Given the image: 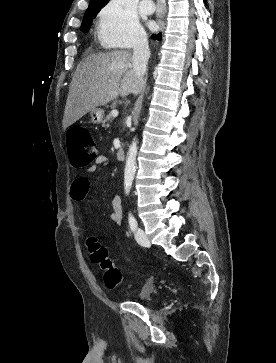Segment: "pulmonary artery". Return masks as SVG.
I'll list each match as a JSON object with an SVG mask.
<instances>
[{
    "label": "pulmonary artery",
    "instance_id": "1",
    "mask_svg": "<svg viewBox=\"0 0 276 363\" xmlns=\"http://www.w3.org/2000/svg\"><path fill=\"white\" fill-rule=\"evenodd\" d=\"M139 7L144 14H152L154 11V4L150 0H142Z\"/></svg>",
    "mask_w": 276,
    "mask_h": 363
}]
</instances>
